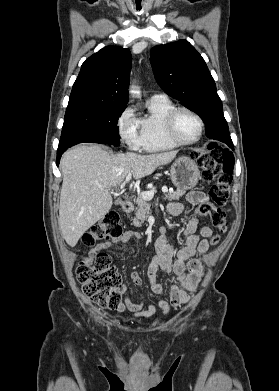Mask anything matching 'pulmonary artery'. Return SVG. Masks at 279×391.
I'll return each mask as SVG.
<instances>
[{"label":"pulmonary artery","instance_id":"1","mask_svg":"<svg viewBox=\"0 0 279 391\" xmlns=\"http://www.w3.org/2000/svg\"><path fill=\"white\" fill-rule=\"evenodd\" d=\"M162 96H165V95L158 93V94H154L152 97H162Z\"/></svg>","mask_w":279,"mask_h":391}]
</instances>
